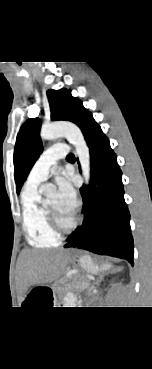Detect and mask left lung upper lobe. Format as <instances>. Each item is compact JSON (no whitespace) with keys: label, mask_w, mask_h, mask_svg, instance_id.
<instances>
[{"label":"left lung upper lobe","mask_w":152,"mask_h":369,"mask_svg":"<svg viewBox=\"0 0 152 369\" xmlns=\"http://www.w3.org/2000/svg\"><path fill=\"white\" fill-rule=\"evenodd\" d=\"M47 96L52 121L67 120L81 128L87 118L92 115L84 108L82 102L73 97L66 89L49 90ZM40 127L41 121L39 118L29 119L21 126L17 135L14 151V177L18 194L29 171L42 152V142L39 135Z\"/></svg>","instance_id":"left-lung-upper-lobe-1"}]
</instances>
